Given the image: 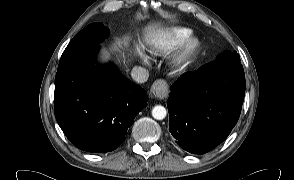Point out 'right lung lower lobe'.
<instances>
[{
    "label": "right lung lower lobe",
    "instance_id": "1",
    "mask_svg": "<svg viewBox=\"0 0 294 180\" xmlns=\"http://www.w3.org/2000/svg\"><path fill=\"white\" fill-rule=\"evenodd\" d=\"M97 50L93 46L62 55L55 77L54 111L77 148L109 152L124 141L148 96L114 66H96Z\"/></svg>",
    "mask_w": 294,
    "mask_h": 180
}]
</instances>
